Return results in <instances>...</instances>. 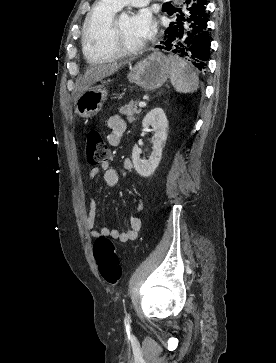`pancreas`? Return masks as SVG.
I'll use <instances>...</instances> for the list:
<instances>
[{"label": "pancreas", "mask_w": 276, "mask_h": 363, "mask_svg": "<svg viewBox=\"0 0 276 363\" xmlns=\"http://www.w3.org/2000/svg\"><path fill=\"white\" fill-rule=\"evenodd\" d=\"M137 105L138 102L130 101L128 104L119 109V113L122 115H126L129 123H132L135 121L134 116L141 112V110L138 109Z\"/></svg>", "instance_id": "pancreas-1"}]
</instances>
